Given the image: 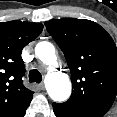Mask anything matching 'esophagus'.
<instances>
[{
  "mask_svg": "<svg viewBox=\"0 0 117 117\" xmlns=\"http://www.w3.org/2000/svg\"><path fill=\"white\" fill-rule=\"evenodd\" d=\"M38 88H39V90L43 91V90L45 89V86H44L43 83H40V84L38 85Z\"/></svg>",
  "mask_w": 117,
  "mask_h": 117,
  "instance_id": "1",
  "label": "esophagus"
}]
</instances>
